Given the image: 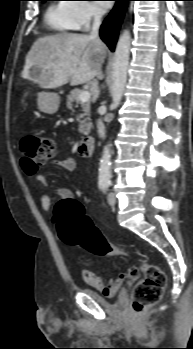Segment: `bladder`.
Instances as JSON below:
<instances>
[{"instance_id": "1", "label": "bladder", "mask_w": 193, "mask_h": 349, "mask_svg": "<svg viewBox=\"0 0 193 349\" xmlns=\"http://www.w3.org/2000/svg\"><path fill=\"white\" fill-rule=\"evenodd\" d=\"M84 292L86 294H88L93 300H95L97 303L101 304V305H105V306H110L109 301L107 300V298L101 294L99 291H97L96 289H92V288H85ZM123 298V293H120L117 296V299H121Z\"/></svg>"}]
</instances>
